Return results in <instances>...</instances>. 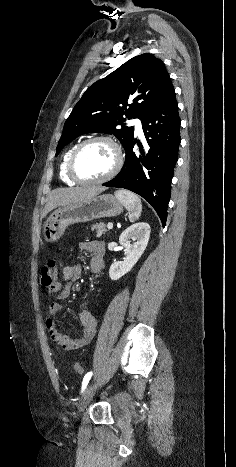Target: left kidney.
Wrapping results in <instances>:
<instances>
[{
    "mask_svg": "<svg viewBox=\"0 0 236 467\" xmlns=\"http://www.w3.org/2000/svg\"><path fill=\"white\" fill-rule=\"evenodd\" d=\"M150 237V226L139 222L128 227L119 238V243L125 248L126 258L114 262L109 269L111 280H118L128 273L144 253Z\"/></svg>",
    "mask_w": 236,
    "mask_h": 467,
    "instance_id": "1",
    "label": "left kidney"
}]
</instances>
